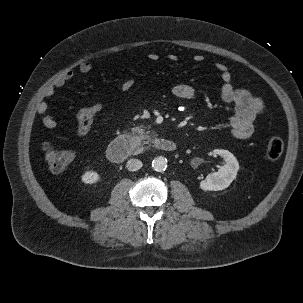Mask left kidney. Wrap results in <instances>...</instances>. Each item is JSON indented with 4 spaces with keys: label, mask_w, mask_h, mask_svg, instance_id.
<instances>
[{
    "label": "left kidney",
    "mask_w": 303,
    "mask_h": 303,
    "mask_svg": "<svg viewBox=\"0 0 303 303\" xmlns=\"http://www.w3.org/2000/svg\"><path fill=\"white\" fill-rule=\"evenodd\" d=\"M213 152L221 156L226 164L221 166L218 172L209 174L200 182V188L204 191H219L227 188L236 178L239 170V163L231 152L223 149H216Z\"/></svg>",
    "instance_id": "1"
}]
</instances>
